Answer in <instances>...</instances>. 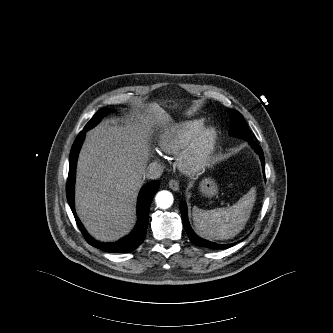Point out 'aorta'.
Returning <instances> with one entry per match:
<instances>
[{
  "label": "aorta",
  "mask_w": 333,
  "mask_h": 333,
  "mask_svg": "<svg viewBox=\"0 0 333 333\" xmlns=\"http://www.w3.org/2000/svg\"><path fill=\"white\" fill-rule=\"evenodd\" d=\"M156 204L161 209H167L173 204V195L166 190L157 193L155 198Z\"/></svg>",
  "instance_id": "obj_1"
}]
</instances>
